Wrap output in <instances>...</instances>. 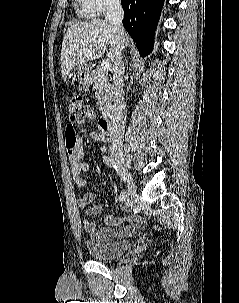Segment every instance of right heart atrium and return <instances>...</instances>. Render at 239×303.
I'll use <instances>...</instances> for the list:
<instances>
[{
    "instance_id": "d8ad5b80",
    "label": "right heart atrium",
    "mask_w": 239,
    "mask_h": 303,
    "mask_svg": "<svg viewBox=\"0 0 239 303\" xmlns=\"http://www.w3.org/2000/svg\"><path fill=\"white\" fill-rule=\"evenodd\" d=\"M78 2L83 13L91 17L117 9L121 4L120 0H78Z\"/></svg>"
}]
</instances>
